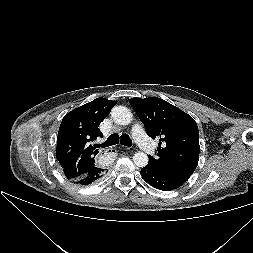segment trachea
<instances>
[{
	"label": "trachea",
	"mask_w": 253,
	"mask_h": 253,
	"mask_svg": "<svg viewBox=\"0 0 253 253\" xmlns=\"http://www.w3.org/2000/svg\"><path fill=\"white\" fill-rule=\"evenodd\" d=\"M118 142H119V136L118 134L114 133V134H111L107 138V140L104 143L100 144L99 146L102 148L109 147V146L118 144ZM120 143L124 146L130 147L132 145V140L129 138L127 134H123L120 137Z\"/></svg>",
	"instance_id": "obj_1"
}]
</instances>
